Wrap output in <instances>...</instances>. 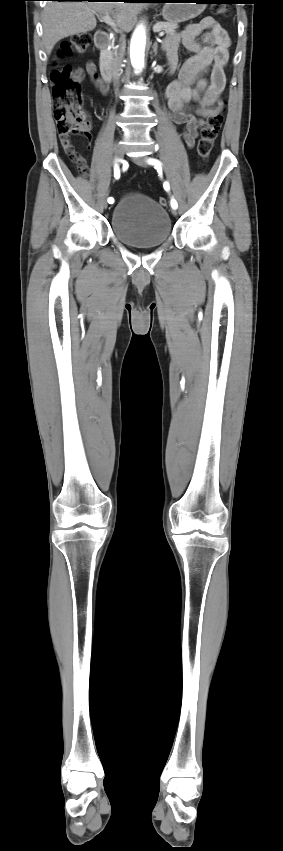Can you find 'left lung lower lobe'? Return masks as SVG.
<instances>
[{
    "mask_svg": "<svg viewBox=\"0 0 283 851\" xmlns=\"http://www.w3.org/2000/svg\"><path fill=\"white\" fill-rule=\"evenodd\" d=\"M163 1H164V0H150V2H163ZM209 3H229V4H235V3H239V2H238V1H236V0H227L226 2H209Z\"/></svg>",
    "mask_w": 283,
    "mask_h": 851,
    "instance_id": "0a47b994",
    "label": "left lung lower lobe"
}]
</instances>
